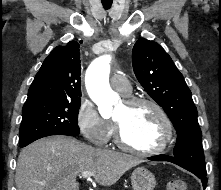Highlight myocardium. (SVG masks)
<instances>
[{
	"mask_svg": "<svg viewBox=\"0 0 221 190\" xmlns=\"http://www.w3.org/2000/svg\"><path fill=\"white\" fill-rule=\"evenodd\" d=\"M124 103L128 107H134L137 105H148L152 107L158 113L162 121L163 135L158 145L151 148H138L127 142L124 137L121 124L118 123L116 120H113L117 144L127 151L141 155H154L165 151L171 144L174 134L172 121L170 120L166 111L157 102L145 97H128L124 100Z\"/></svg>",
	"mask_w": 221,
	"mask_h": 190,
	"instance_id": "myocardium-1",
	"label": "myocardium"
}]
</instances>
